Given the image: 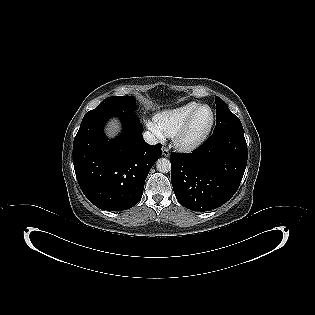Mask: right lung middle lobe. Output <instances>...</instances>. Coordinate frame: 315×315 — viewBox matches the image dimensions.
Instances as JSON below:
<instances>
[{
	"instance_id": "obj_1",
	"label": "right lung middle lobe",
	"mask_w": 315,
	"mask_h": 315,
	"mask_svg": "<svg viewBox=\"0 0 315 315\" xmlns=\"http://www.w3.org/2000/svg\"><path fill=\"white\" fill-rule=\"evenodd\" d=\"M135 98L133 96H112L104 99L97 107H117L125 111L135 109Z\"/></svg>"
}]
</instances>
